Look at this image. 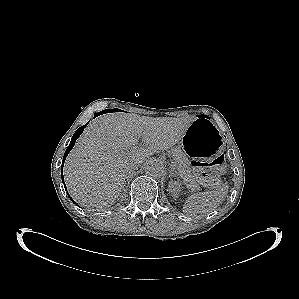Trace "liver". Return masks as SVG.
<instances>
[{"mask_svg": "<svg viewBox=\"0 0 299 299\" xmlns=\"http://www.w3.org/2000/svg\"><path fill=\"white\" fill-rule=\"evenodd\" d=\"M195 118L148 117L110 113L92 121L68 155L64 177L68 192L81 205H113L125 185L130 164L178 143ZM139 138L145 147H137Z\"/></svg>", "mask_w": 299, "mask_h": 299, "instance_id": "obj_1", "label": "liver"}]
</instances>
